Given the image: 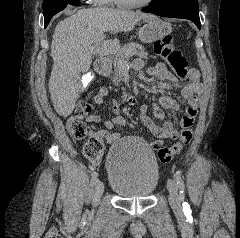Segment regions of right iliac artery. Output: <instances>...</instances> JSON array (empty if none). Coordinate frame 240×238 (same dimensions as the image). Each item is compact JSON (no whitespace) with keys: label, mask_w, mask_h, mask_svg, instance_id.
<instances>
[{"label":"right iliac artery","mask_w":240,"mask_h":238,"mask_svg":"<svg viewBox=\"0 0 240 238\" xmlns=\"http://www.w3.org/2000/svg\"><path fill=\"white\" fill-rule=\"evenodd\" d=\"M97 177H98V173L97 172H94L92 174V178H91V182L92 184H95L97 182Z\"/></svg>","instance_id":"obj_1"}]
</instances>
